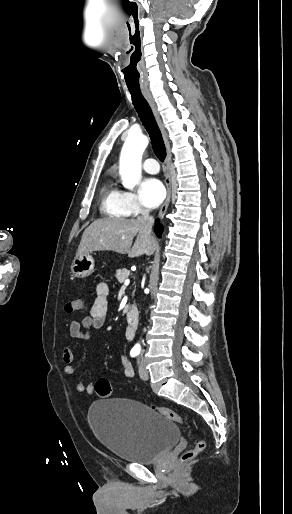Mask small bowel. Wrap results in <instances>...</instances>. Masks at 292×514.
<instances>
[{
  "mask_svg": "<svg viewBox=\"0 0 292 514\" xmlns=\"http://www.w3.org/2000/svg\"><path fill=\"white\" fill-rule=\"evenodd\" d=\"M109 286L106 282H99L96 285V297L87 316L80 320H73L69 326L70 336L75 339L87 340L90 338V332L93 329H99L104 326L108 318V302ZM63 361L66 363L64 372L66 375L75 374V354L71 347L66 346L62 351ZM121 366L124 376L132 378L135 374L134 368L126 357H122ZM78 392H87L92 394L94 391V382L91 380L86 384L82 380H78L75 384Z\"/></svg>",
  "mask_w": 292,
  "mask_h": 514,
  "instance_id": "obj_1",
  "label": "small bowel"
}]
</instances>
